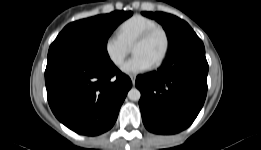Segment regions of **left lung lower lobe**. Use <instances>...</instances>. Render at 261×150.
<instances>
[{
	"mask_svg": "<svg viewBox=\"0 0 261 150\" xmlns=\"http://www.w3.org/2000/svg\"><path fill=\"white\" fill-rule=\"evenodd\" d=\"M207 74L203 42L192 33L168 51L157 71L137 76L146 129L156 134H175L189 127L204 104Z\"/></svg>",
	"mask_w": 261,
	"mask_h": 150,
	"instance_id": "obj_1",
	"label": "left lung lower lobe"
}]
</instances>
